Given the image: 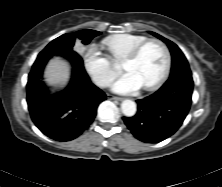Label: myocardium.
Wrapping results in <instances>:
<instances>
[{"label": "myocardium", "instance_id": "1", "mask_svg": "<svg viewBox=\"0 0 222 187\" xmlns=\"http://www.w3.org/2000/svg\"><path fill=\"white\" fill-rule=\"evenodd\" d=\"M150 44H157L163 49L164 54H165V65H164V68H163V71H162L160 77L156 81H154L151 84L142 86V88L144 90H147V91L155 90L158 87H160L165 82V80L167 79V77L169 75V72H170V69H171V64H172V56H171V52H170L168 46L163 41H161L159 39H147L144 42L140 43L138 46H136L123 59V62H134V61H136L140 57L144 48L147 47Z\"/></svg>", "mask_w": 222, "mask_h": 187}]
</instances>
